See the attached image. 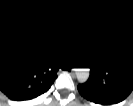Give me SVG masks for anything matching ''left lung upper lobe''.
Wrapping results in <instances>:
<instances>
[{"label": "left lung upper lobe", "instance_id": "obj_1", "mask_svg": "<svg viewBox=\"0 0 133 106\" xmlns=\"http://www.w3.org/2000/svg\"><path fill=\"white\" fill-rule=\"evenodd\" d=\"M82 52L90 77L78 86L80 94L98 105L122 102L133 90V55L102 39L92 41Z\"/></svg>", "mask_w": 133, "mask_h": 106}]
</instances>
